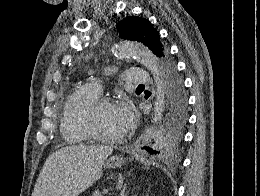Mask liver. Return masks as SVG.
Returning a JSON list of instances; mask_svg holds the SVG:
<instances>
[{
    "instance_id": "1",
    "label": "liver",
    "mask_w": 260,
    "mask_h": 196,
    "mask_svg": "<svg viewBox=\"0 0 260 196\" xmlns=\"http://www.w3.org/2000/svg\"><path fill=\"white\" fill-rule=\"evenodd\" d=\"M113 146H70L47 158L32 196H79L102 178Z\"/></svg>"
}]
</instances>
